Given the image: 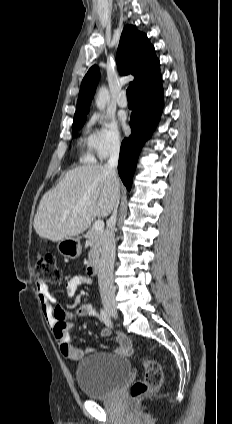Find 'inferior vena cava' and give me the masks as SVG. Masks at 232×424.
Segmentation results:
<instances>
[{"mask_svg":"<svg viewBox=\"0 0 232 424\" xmlns=\"http://www.w3.org/2000/svg\"><path fill=\"white\" fill-rule=\"evenodd\" d=\"M120 152V141L114 139L110 145V158L105 165L112 183L115 186L114 210L109 220V224L103 234L101 258L99 262L98 284L102 303H114L115 287L113 283V269L115 261V233L114 228L117 220V208L119 204V179L117 176V165Z\"/></svg>","mask_w":232,"mask_h":424,"instance_id":"602c4592","label":"inferior vena cava"}]
</instances>
